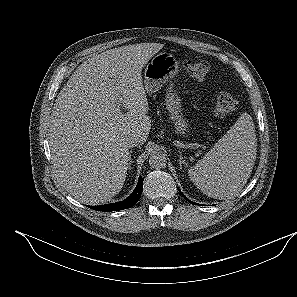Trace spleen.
Segmentation results:
<instances>
[{
	"mask_svg": "<svg viewBox=\"0 0 297 297\" xmlns=\"http://www.w3.org/2000/svg\"><path fill=\"white\" fill-rule=\"evenodd\" d=\"M256 147L252 117L243 113L214 147L188 170L190 179L209 197L230 199L249 179L255 164Z\"/></svg>",
	"mask_w": 297,
	"mask_h": 297,
	"instance_id": "3e777b00",
	"label": "spleen"
}]
</instances>
